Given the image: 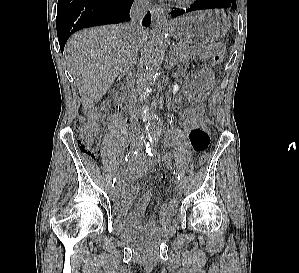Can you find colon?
Listing matches in <instances>:
<instances>
[{"label": "colon", "mask_w": 299, "mask_h": 273, "mask_svg": "<svg viewBox=\"0 0 299 273\" xmlns=\"http://www.w3.org/2000/svg\"><path fill=\"white\" fill-rule=\"evenodd\" d=\"M193 54L201 61L209 66L219 64L225 55V48L221 43L194 45L192 47ZM206 107L204 103H199L193 106L190 113L184 121L185 128L198 127L203 124ZM98 133L97 123L93 119H89L77 128V141L80 150L96 158L100 152L96 145V137ZM208 161V157L202 154L197 159L199 167L204 166ZM180 199V193L176 190L175 195L170 200V205L177 207Z\"/></svg>", "instance_id": "5ec220e1"}]
</instances>
